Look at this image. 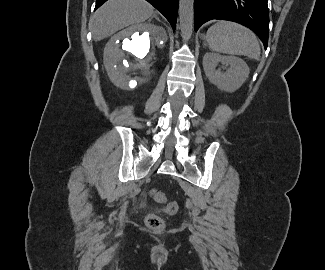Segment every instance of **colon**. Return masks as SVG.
<instances>
[{
  "label": "colon",
  "mask_w": 325,
  "mask_h": 270,
  "mask_svg": "<svg viewBox=\"0 0 325 270\" xmlns=\"http://www.w3.org/2000/svg\"><path fill=\"white\" fill-rule=\"evenodd\" d=\"M153 197L157 202L164 205L163 210L165 213L173 215L178 211L177 202L167 200L166 196L162 192L153 191ZM145 223L149 228L154 230H159L164 227L163 219L155 212H151L146 216Z\"/></svg>",
  "instance_id": "colon-1"
}]
</instances>
